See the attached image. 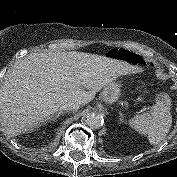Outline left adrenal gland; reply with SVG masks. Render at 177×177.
<instances>
[{
    "instance_id": "obj_1",
    "label": "left adrenal gland",
    "mask_w": 177,
    "mask_h": 177,
    "mask_svg": "<svg viewBox=\"0 0 177 177\" xmlns=\"http://www.w3.org/2000/svg\"><path fill=\"white\" fill-rule=\"evenodd\" d=\"M119 115H120V123H124L125 121L123 120V114L119 111Z\"/></svg>"
}]
</instances>
